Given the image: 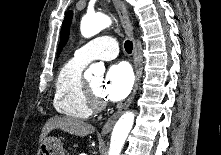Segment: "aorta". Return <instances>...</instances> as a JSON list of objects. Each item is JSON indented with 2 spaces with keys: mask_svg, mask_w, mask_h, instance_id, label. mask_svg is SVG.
Masks as SVG:
<instances>
[{
  "mask_svg": "<svg viewBox=\"0 0 221 155\" xmlns=\"http://www.w3.org/2000/svg\"><path fill=\"white\" fill-rule=\"evenodd\" d=\"M110 25V18L104 14L86 15L81 20L80 30L85 38H90ZM97 71L103 72L104 67L98 64H92L85 72V76L91 78L92 74ZM134 117V113L129 111L118 119L112 131L108 155H120L125 140L133 126Z\"/></svg>",
  "mask_w": 221,
  "mask_h": 155,
  "instance_id": "762f6f07",
  "label": "aorta"
}]
</instances>
